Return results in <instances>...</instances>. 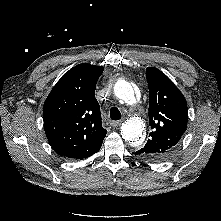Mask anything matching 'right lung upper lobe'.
<instances>
[{"label": "right lung upper lobe", "mask_w": 221, "mask_h": 221, "mask_svg": "<svg viewBox=\"0 0 221 221\" xmlns=\"http://www.w3.org/2000/svg\"><path fill=\"white\" fill-rule=\"evenodd\" d=\"M104 68L79 64L57 82L44 103L47 139L62 157L84 159L101 148L107 131L95 98L96 82Z\"/></svg>", "instance_id": "cb5924a9"}]
</instances>
